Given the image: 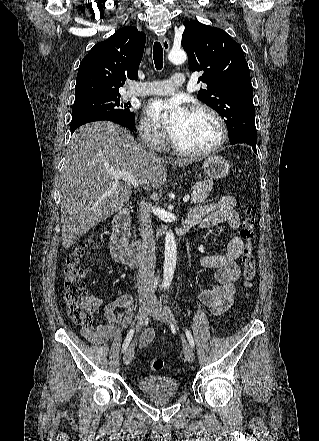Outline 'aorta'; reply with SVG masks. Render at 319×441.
I'll return each mask as SVG.
<instances>
[{
  "mask_svg": "<svg viewBox=\"0 0 319 441\" xmlns=\"http://www.w3.org/2000/svg\"><path fill=\"white\" fill-rule=\"evenodd\" d=\"M187 54L184 50H172L168 55V60L174 64H182L186 61ZM167 116L166 113L163 115ZM177 260L176 241L172 231L166 232L165 236V262L163 268V285L169 286L175 272Z\"/></svg>",
  "mask_w": 319,
  "mask_h": 441,
  "instance_id": "aorta-1",
  "label": "aorta"
}]
</instances>
